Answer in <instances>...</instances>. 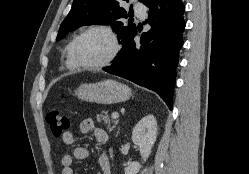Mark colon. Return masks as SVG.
Returning a JSON list of instances; mask_svg holds the SVG:
<instances>
[{
    "instance_id": "colon-1",
    "label": "colon",
    "mask_w": 249,
    "mask_h": 174,
    "mask_svg": "<svg viewBox=\"0 0 249 174\" xmlns=\"http://www.w3.org/2000/svg\"><path fill=\"white\" fill-rule=\"evenodd\" d=\"M46 120L55 136H62L70 127L69 117L58 109H52L47 113Z\"/></svg>"
}]
</instances>
